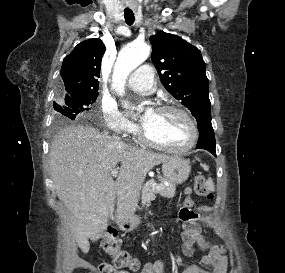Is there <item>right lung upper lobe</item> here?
<instances>
[{"instance_id": "1", "label": "right lung upper lobe", "mask_w": 285, "mask_h": 273, "mask_svg": "<svg viewBox=\"0 0 285 273\" xmlns=\"http://www.w3.org/2000/svg\"><path fill=\"white\" fill-rule=\"evenodd\" d=\"M106 50L102 40L88 39L67 55L60 75L67 95L97 92L102 56Z\"/></svg>"}]
</instances>
